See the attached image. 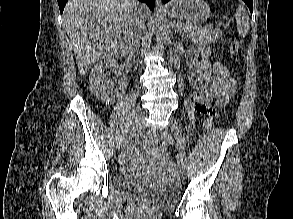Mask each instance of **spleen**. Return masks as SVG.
Segmentation results:
<instances>
[{
	"instance_id": "1",
	"label": "spleen",
	"mask_w": 293,
	"mask_h": 219,
	"mask_svg": "<svg viewBox=\"0 0 293 219\" xmlns=\"http://www.w3.org/2000/svg\"><path fill=\"white\" fill-rule=\"evenodd\" d=\"M235 19L237 22V31L239 36L245 37L249 31V17L243 6H239L235 13Z\"/></svg>"
}]
</instances>
